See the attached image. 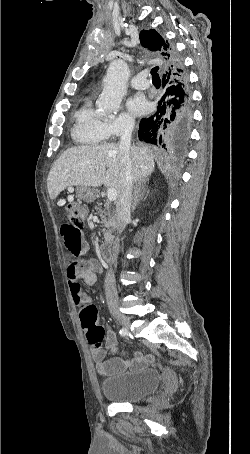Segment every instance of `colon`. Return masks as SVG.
Instances as JSON below:
<instances>
[{
	"mask_svg": "<svg viewBox=\"0 0 250 454\" xmlns=\"http://www.w3.org/2000/svg\"><path fill=\"white\" fill-rule=\"evenodd\" d=\"M66 214L69 224L80 230L88 216V208L86 205L71 202L66 206ZM81 326L85 331L87 341L94 347L101 346L105 338V330L100 325V314L98 308L93 304L85 305L79 311Z\"/></svg>",
	"mask_w": 250,
	"mask_h": 454,
	"instance_id": "5ec220e1",
	"label": "colon"
}]
</instances>
